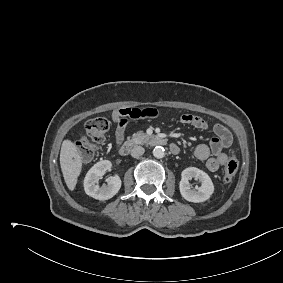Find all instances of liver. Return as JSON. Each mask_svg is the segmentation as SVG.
<instances>
[{"label":"liver","instance_id":"1","mask_svg":"<svg viewBox=\"0 0 283 283\" xmlns=\"http://www.w3.org/2000/svg\"><path fill=\"white\" fill-rule=\"evenodd\" d=\"M60 166L67 187L73 191L82 170V157L75 143L68 139L62 142Z\"/></svg>","mask_w":283,"mask_h":283}]
</instances>
